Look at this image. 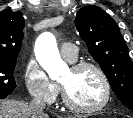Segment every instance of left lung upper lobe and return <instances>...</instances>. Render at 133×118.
<instances>
[{
	"label": "left lung upper lobe",
	"instance_id": "5c2ea615",
	"mask_svg": "<svg viewBox=\"0 0 133 118\" xmlns=\"http://www.w3.org/2000/svg\"><path fill=\"white\" fill-rule=\"evenodd\" d=\"M75 25L118 99L133 110V63L116 22L101 8L85 6Z\"/></svg>",
	"mask_w": 133,
	"mask_h": 118
}]
</instances>
